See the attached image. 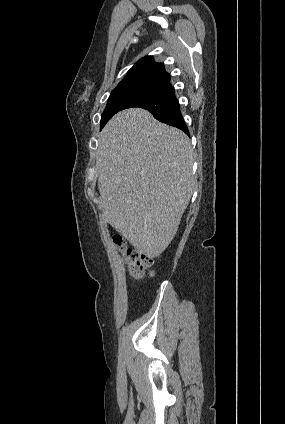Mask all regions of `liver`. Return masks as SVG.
Instances as JSON below:
<instances>
[{
    "label": "liver",
    "mask_w": 285,
    "mask_h": 424,
    "mask_svg": "<svg viewBox=\"0 0 285 424\" xmlns=\"http://www.w3.org/2000/svg\"><path fill=\"white\" fill-rule=\"evenodd\" d=\"M188 136L131 108L98 137L96 168L105 220L150 258L173 240L194 187Z\"/></svg>",
    "instance_id": "6515ba94"
}]
</instances>
